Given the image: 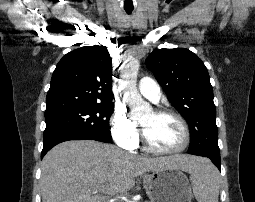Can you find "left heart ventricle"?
Returning a JSON list of instances; mask_svg holds the SVG:
<instances>
[{
	"label": "left heart ventricle",
	"instance_id": "b2bd125f",
	"mask_svg": "<svg viewBox=\"0 0 255 202\" xmlns=\"http://www.w3.org/2000/svg\"><path fill=\"white\" fill-rule=\"evenodd\" d=\"M140 123L145 127L150 142L156 148L174 149L183 142L182 127L172 116H157L151 111L140 120Z\"/></svg>",
	"mask_w": 255,
	"mask_h": 202
}]
</instances>
